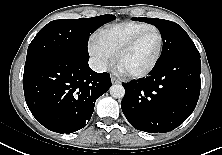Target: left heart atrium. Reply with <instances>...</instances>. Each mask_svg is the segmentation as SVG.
<instances>
[{"mask_svg": "<svg viewBox=\"0 0 222 155\" xmlns=\"http://www.w3.org/2000/svg\"><path fill=\"white\" fill-rule=\"evenodd\" d=\"M117 70L119 73H122V74L126 73L125 70L120 65L117 66Z\"/></svg>", "mask_w": 222, "mask_h": 155, "instance_id": "obj_1", "label": "left heart atrium"}]
</instances>
